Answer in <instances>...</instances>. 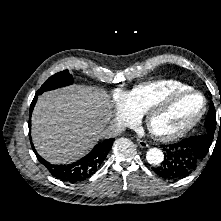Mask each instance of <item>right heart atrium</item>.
<instances>
[{"label":"right heart atrium","instance_id":"d8ad5b80","mask_svg":"<svg viewBox=\"0 0 221 221\" xmlns=\"http://www.w3.org/2000/svg\"><path fill=\"white\" fill-rule=\"evenodd\" d=\"M113 99V123L121 129L134 126L139 121L140 116L134 113L129 107L126 94L123 92H117Z\"/></svg>","mask_w":221,"mask_h":221}]
</instances>
